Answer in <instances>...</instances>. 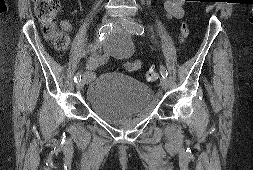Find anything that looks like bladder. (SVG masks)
<instances>
[{
    "label": "bladder",
    "instance_id": "bladder-1",
    "mask_svg": "<svg viewBox=\"0 0 253 170\" xmlns=\"http://www.w3.org/2000/svg\"><path fill=\"white\" fill-rule=\"evenodd\" d=\"M153 89L138 78L120 72H105L92 80L86 100L101 119L116 125L141 116L151 106Z\"/></svg>",
    "mask_w": 253,
    "mask_h": 170
}]
</instances>
